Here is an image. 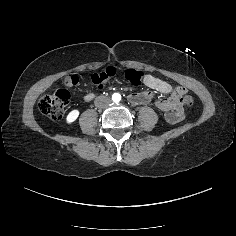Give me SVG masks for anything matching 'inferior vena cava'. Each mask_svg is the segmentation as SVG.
<instances>
[{
    "label": "inferior vena cava",
    "mask_w": 236,
    "mask_h": 236,
    "mask_svg": "<svg viewBox=\"0 0 236 236\" xmlns=\"http://www.w3.org/2000/svg\"><path fill=\"white\" fill-rule=\"evenodd\" d=\"M111 104V99L107 96H101L95 100V105L98 107H105Z\"/></svg>",
    "instance_id": "obj_1"
}]
</instances>
